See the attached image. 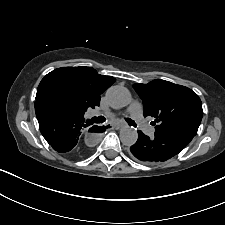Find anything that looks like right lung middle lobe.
Segmentation results:
<instances>
[{
    "mask_svg": "<svg viewBox=\"0 0 225 225\" xmlns=\"http://www.w3.org/2000/svg\"><path fill=\"white\" fill-rule=\"evenodd\" d=\"M55 106H56V107H59V108H61V109L70 111L68 108H66V107H65L63 104H61V103H55Z\"/></svg>",
    "mask_w": 225,
    "mask_h": 225,
    "instance_id": "obj_1",
    "label": "right lung middle lobe"
}]
</instances>
